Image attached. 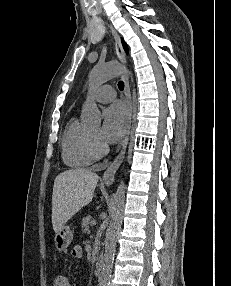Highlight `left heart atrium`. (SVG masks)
Returning a JSON list of instances; mask_svg holds the SVG:
<instances>
[{"instance_id":"obj_1","label":"left heart atrium","mask_w":231,"mask_h":286,"mask_svg":"<svg viewBox=\"0 0 231 286\" xmlns=\"http://www.w3.org/2000/svg\"><path fill=\"white\" fill-rule=\"evenodd\" d=\"M129 114L121 103L112 104L103 114V124L99 131V139L103 144L119 142L128 127Z\"/></svg>"}]
</instances>
